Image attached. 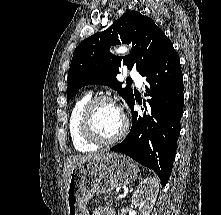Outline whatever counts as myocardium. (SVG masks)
I'll return each mask as SVG.
<instances>
[{"label":"myocardium","mask_w":221,"mask_h":215,"mask_svg":"<svg viewBox=\"0 0 221 215\" xmlns=\"http://www.w3.org/2000/svg\"><path fill=\"white\" fill-rule=\"evenodd\" d=\"M102 103H112L115 105L114 100L109 96H97L91 98L83 107L80 119L79 127L81 135L89 142L96 145H111L120 141L127 133L129 122L124 114L122 115L123 123L120 131L113 137L105 138L101 136L94 127V112L96 107Z\"/></svg>","instance_id":"1"}]
</instances>
